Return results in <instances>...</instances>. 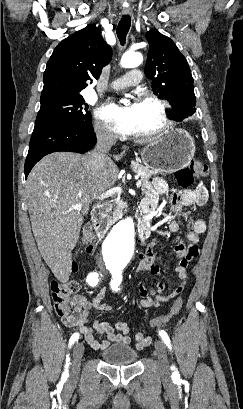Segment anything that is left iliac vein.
I'll list each match as a JSON object with an SVG mask.
<instances>
[{
    "label": "left iliac vein",
    "mask_w": 243,
    "mask_h": 409,
    "mask_svg": "<svg viewBox=\"0 0 243 409\" xmlns=\"http://www.w3.org/2000/svg\"><path fill=\"white\" fill-rule=\"evenodd\" d=\"M155 349L158 357L160 372L162 376L166 378L169 375V362L167 358L166 346L162 341L158 340L155 342Z\"/></svg>",
    "instance_id": "left-iliac-vein-1"
}]
</instances>
